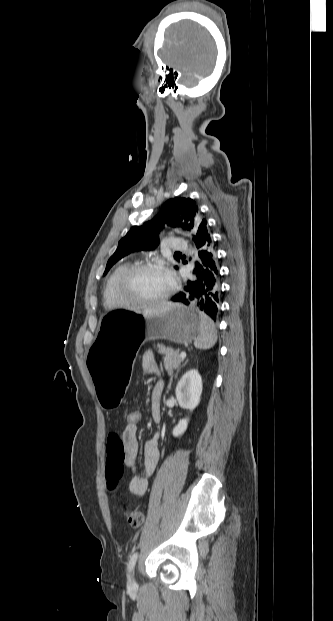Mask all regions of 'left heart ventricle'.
<instances>
[{"label":"left heart ventricle","mask_w":333,"mask_h":621,"mask_svg":"<svg viewBox=\"0 0 333 621\" xmlns=\"http://www.w3.org/2000/svg\"><path fill=\"white\" fill-rule=\"evenodd\" d=\"M167 275L159 271H141L133 275L126 285V292L138 299L153 300L169 289Z\"/></svg>","instance_id":"obj_1"}]
</instances>
